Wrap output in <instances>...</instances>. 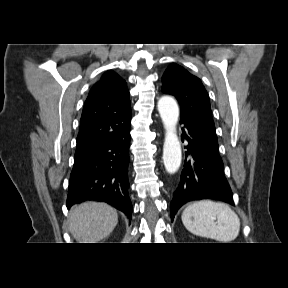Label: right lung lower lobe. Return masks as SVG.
Wrapping results in <instances>:
<instances>
[{
    "mask_svg": "<svg viewBox=\"0 0 288 288\" xmlns=\"http://www.w3.org/2000/svg\"><path fill=\"white\" fill-rule=\"evenodd\" d=\"M130 126L107 141L75 154L67 208L85 200L107 202L132 218L128 194Z\"/></svg>",
    "mask_w": 288,
    "mask_h": 288,
    "instance_id": "1",
    "label": "right lung lower lobe"
}]
</instances>
